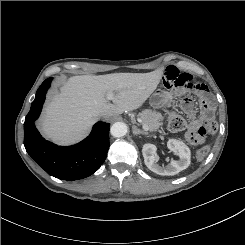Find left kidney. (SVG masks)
Returning <instances> with one entry per match:
<instances>
[{
	"label": "left kidney",
	"instance_id": "5707ae66",
	"mask_svg": "<svg viewBox=\"0 0 245 245\" xmlns=\"http://www.w3.org/2000/svg\"><path fill=\"white\" fill-rule=\"evenodd\" d=\"M167 147L179 156V160H171L170 164L167 166L158 165V156L156 155L157 147L154 144L146 143L142 148L145 165L154 173L163 176L176 175L182 170L188 168L191 158V153L188 146H186L180 140L169 139L167 142Z\"/></svg>",
	"mask_w": 245,
	"mask_h": 245
}]
</instances>
